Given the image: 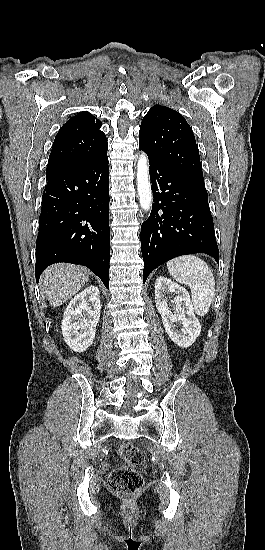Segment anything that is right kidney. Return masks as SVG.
<instances>
[{"instance_id":"right-kidney-1","label":"right kidney","mask_w":265,"mask_h":550,"mask_svg":"<svg viewBox=\"0 0 265 550\" xmlns=\"http://www.w3.org/2000/svg\"><path fill=\"white\" fill-rule=\"evenodd\" d=\"M100 310L97 286L87 287L70 301L61 322L64 341L70 349L83 352L93 343Z\"/></svg>"}]
</instances>
